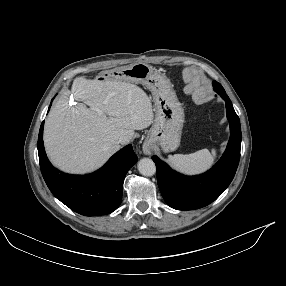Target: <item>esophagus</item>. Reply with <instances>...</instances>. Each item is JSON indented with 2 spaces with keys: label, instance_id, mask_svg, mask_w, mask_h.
Here are the masks:
<instances>
[{
  "label": "esophagus",
  "instance_id": "esophagus-1",
  "mask_svg": "<svg viewBox=\"0 0 286 286\" xmlns=\"http://www.w3.org/2000/svg\"><path fill=\"white\" fill-rule=\"evenodd\" d=\"M143 152L146 155H151L152 150L149 144H143Z\"/></svg>",
  "mask_w": 286,
  "mask_h": 286
}]
</instances>
